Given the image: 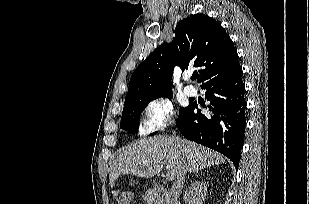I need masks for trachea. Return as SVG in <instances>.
Listing matches in <instances>:
<instances>
[{"mask_svg":"<svg viewBox=\"0 0 309 204\" xmlns=\"http://www.w3.org/2000/svg\"><path fill=\"white\" fill-rule=\"evenodd\" d=\"M198 77H199L198 74H193V75H192V79H193V80L197 79Z\"/></svg>","mask_w":309,"mask_h":204,"instance_id":"obj_1","label":"trachea"}]
</instances>
